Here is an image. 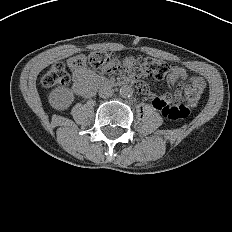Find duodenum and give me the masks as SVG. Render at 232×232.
I'll use <instances>...</instances> for the list:
<instances>
[{
  "mask_svg": "<svg viewBox=\"0 0 232 232\" xmlns=\"http://www.w3.org/2000/svg\"><path fill=\"white\" fill-rule=\"evenodd\" d=\"M134 79L128 78L121 81H113L105 78H96L92 80L85 90V97L92 96L99 88L125 86L132 83Z\"/></svg>",
  "mask_w": 232,
  "mask_h": 232,
  "instance_id": "obj_1",
  "label": "duodenum"
}]
</instances>
